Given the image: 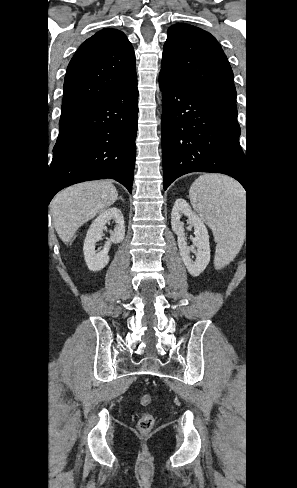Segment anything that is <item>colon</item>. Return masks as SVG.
I'll use <instances>...</instances> for the list:
<instances>
[{
	"label": "colon",
	"instance_id": "5ec220e1",
	"mask_svg": "<svg viewBox=\"0 0 297 488\" xmlns=\"http://www.w3.org/2000/svg\"><path fill=\"white\" fill-rule=\"evenodd\" d=\"M140 403L147 406L151 403V396L145 394L141 397ZM154 425V417L150 413H143L138 421V428L141 432H149Z\"/></svg>",
	"mask_w": 297,
	"mask_h": 488
}]
</instances>
